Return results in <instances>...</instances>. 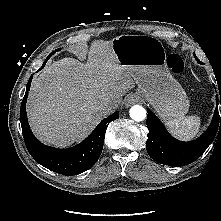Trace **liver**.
<instances>
[{
    "instance_id": "1",
    "label": "liver",
    "mask_w": 221,
    "mask_h": 221,
    "mask_svg": "<svg viewBox=\"0 0 221 221\" xmlns=\"http://www.w3.org/2000/svg\"><path fill=\"white\" fill-rule=\"evenodd\" d=\"M134 87L133 76L117 61L111 41H94L86 64L63 58L32 82L27 100L29 124L42 142L70 146L107 116L105 103L121 104Z\"/></svg>"
}]
</instances>
